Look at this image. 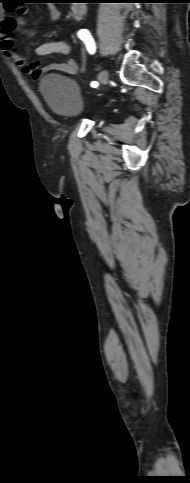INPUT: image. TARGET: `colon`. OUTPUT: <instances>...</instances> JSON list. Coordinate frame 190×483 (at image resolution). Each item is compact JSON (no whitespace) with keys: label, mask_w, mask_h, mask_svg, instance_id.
Instances as JSON below:
<instances>
[{"label":"colon","mask_w":190,"mask_h":483,"mask_svg":"<svg viewBox=\"0 0 190 483\" xmlns=\"http://www.w3.org/2000/svg\"><path fill=\"white\" fill-rule=\"evenodd\" d=\"M5 2H6L8 5H10V6H11V7H10V9H13V8H15V6H16V3H11V2H13V1H5Z\"/></svg>","instance_id":"1"}]
</instances>
